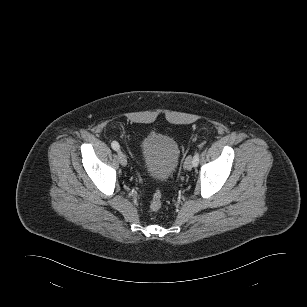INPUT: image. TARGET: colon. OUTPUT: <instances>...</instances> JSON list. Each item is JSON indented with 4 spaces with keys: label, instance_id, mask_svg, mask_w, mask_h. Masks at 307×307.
I'll list each match as a JSON object with an SVG mask.
<instances>
[{
    "label": "colon",
    "instance_id": "1",
    "mask_svg": "<svg viewBox=\"0 0 307 307\" xmlns=\"http://www.w3.org/2000/svg\"><path fill=\"white\" fill-rule=\"evenodd\" d=\"M162 207V193L159 189H157L152 196L150 202V208L153 211H159Z\"/></svg>",
    "mask_w": 307,
    "mask_h": 307
}]
</instances>
